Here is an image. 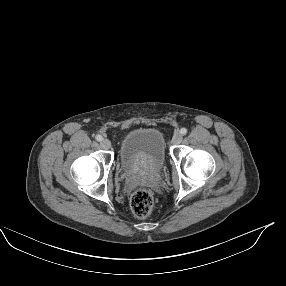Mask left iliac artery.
<instances>
[{
    "mask_svg": "<svg viewBox=\"0 0 286 286\" xmlns=\"http://www.w3.org/2000/svg\"><path fill=\"white\" fill-rule=\"evenodd\" d=\"M180 133H181L182 135H185V134L187 133V129H186V128H182V129L180 130Z\"/></svg>",
    "mask_w": 286,
    "mask_h": 286,
    "instance_id": "obj_1",
    "label": "left iliac artery"
}]
</instances>
